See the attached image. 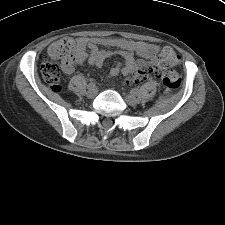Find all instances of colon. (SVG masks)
<instances>
[{
	"mask_svg": "<svg viewBox=\"0 0 225 225\" xmlns=\"http://www.w3.org/2000/svg\"><path fill=\"white\" fill-rule=\"evenodd\" d=\"M75 62L76 52L71 39H61L50 47L43 59L41 73L44 81L53 91H59L61 88V67ZM178 63L179 56L172 49L166 48L161 52L156 64L141 62L123 85L139 84L154 75L162 81L164 94H171L181 86L180 76L171 70Z\"/></svg>",
	"mask_w": 225,
	"mask_h": 225,
	"instance_id": "5ec220e1",
	"label": "colon"
}]
</instances>
